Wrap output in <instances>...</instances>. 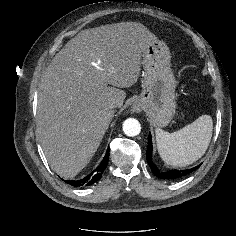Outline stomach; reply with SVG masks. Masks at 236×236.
<instances>
[{
	"label": "stomach",
	"instance_id": "1",
	"mask_svg": "<svg viewBox=\"0 0 236 236\" xmlns=\"http://www.w3.org/2000/svg\"><path fill=\"white\" fill-rule=\"evenodd\" d=\"M142 57V92L133 109L144 110L155 127H165L176 109V80L170 65V51L158 40L149 45Z\"/></svg>",
	"mask_w": 236,
	"mask_h": 236
}]
</instances>
